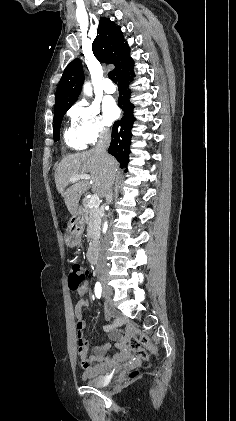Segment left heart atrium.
<instances>
[{
  "label": "left heart atrium",
  "mask_w": 236,
  "mask_h": 421,
  "mask_svg": "<svg viewBox=\"0 0 236 421\" xmlns=\"http://www.w3.org/2000/svg\"><path fill=\"white\" fill-rule=\"evenodd\" d=\"M104 113L109 122H112L119 118L120 110L114 99L108 98L103 104Z\"/></svg>",
  "instance_id": "obj_1"
}]
</instances>
